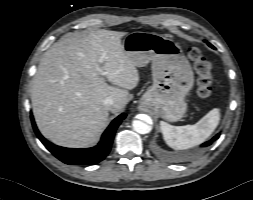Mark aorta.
<instances>
[{"instance_id":"762f6f07","label":"aorta","mask_w":253,"mask_h":200,"mask_svg":"<svg viewBox=\"0 0 253 200\" xmlns=\"http://www.w3.org/2000/svg\"><path fill=\"white\" fill-rule=\"evenodd\" d=\"M132 126L139 134H147L151 131V126L140 120H134Z\"/></svg>"}]
</instances>
